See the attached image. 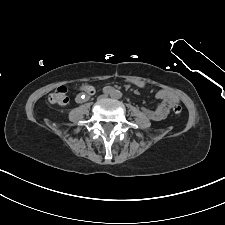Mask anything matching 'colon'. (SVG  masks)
Returning a JSON list of instances; mask_svg holds the SVG:
<instances>
[{"instance_id":"obj_1","label":"colon","mask_w":225,"mask_h":225,"mask_svg":"<svg viewBox=\"0 0 225 225\" xmlns=\"http://www.w3.org/2000/svg\"><path fill=\"white\" fill-rule=\"evenodd\" d=\"M84 89L90 90L91 86L85 85ZM68 101L69 98L67 96V89L65 86H59L48 96V102L51 104L65 105ZM173 111L175 114H180L182 112V107L180 105H175L173 107Z\"/></svg>"}]
</instances>
